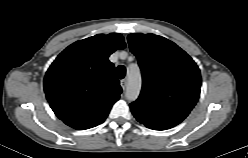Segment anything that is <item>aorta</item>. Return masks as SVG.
<instances>
[{
	"label": "aorta",
	"mask_w": 248,
	"mask_h": 158,
	"mask_svg": "<svg viewBox=\"0 0 248 158\" xmlns=\"http://www.w3.org/2000/svg\"><path fill=\"white\" fill-rule=\"evenodd\" d=\"M128 83L126 86V98L129 101H134L138 98L141 90V74L139 68H130L127 71Z\"/></svg>",
	"instance_id": "aorta-1"
}]
</instances>
